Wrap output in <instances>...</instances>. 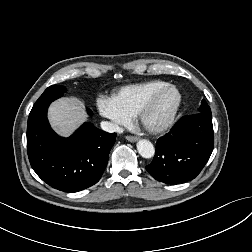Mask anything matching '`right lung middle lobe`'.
Wrapping results in <instances>:
<instances>
[{
    "label": "right lung middle lobe",
    "mask_w": 252,
    "mask_h": 252,
    "mask_svg": "<svg viewBox=\"0 0 252 252\" xmlns=\"http://www.w3.org/2000/svg\"><path fill=\"white\" fill-rule=\"evenodd\" d=\"M66 92V88L60 85L48 87L34 104L30 113L36 112L44 106L49 105L52 101L60 98Z\"/></svg>",
    "instance_id": "1"
}]
</instances>
